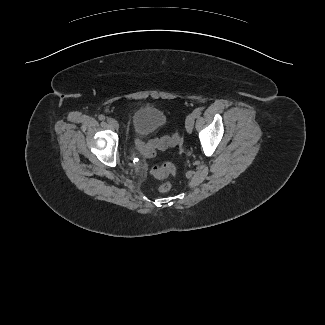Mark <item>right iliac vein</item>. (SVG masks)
I'll return each instance as SVG.
<instances>
[{
  "instance_id": "1",
  "label": "right iliac vein",
  "mask_w": 325,
  "mask_h": 325,
  "mask_svg": "<svg viewBox=\"0 0 325 325\" xmlns=\"http://www.w3.org/2000/svg\"><path fill=\"white\" fill-rule=\"evenodd\" d=\"M107 123L114 129H118L119 128V124L118 122L113 119V118H107Z\"/></svg>"
}]
</instances>
